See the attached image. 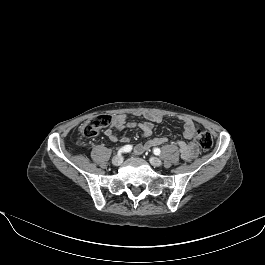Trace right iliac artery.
Wrapping results in <instances>:
<instances>
[{
    "mask_svg": "<svg viewBox=\"0 0 265 265\" xmlns=\"http://www.w3.org/2000/svg\"><path fill=\"white\" fill-rule=\"evenodd\" d=\"M131 150H132L131 145H125L118 151V155L120 156L122 153H127L130 152Z\"/></svg>",
    "mask_w": 265,
    "mask_h": 265,
    "instance_id": "1",
    "label": "right iliac artery"
}]
</instances>
